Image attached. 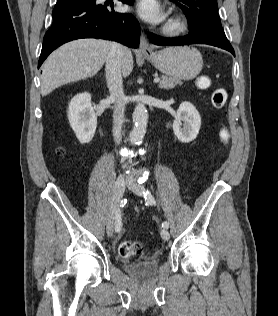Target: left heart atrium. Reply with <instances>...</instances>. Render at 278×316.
Wrapping results in <instances>:
<instances>
[{
  "label": "left heart atrium",
  "mask_w": 278,
  "mask_h": 316,
  "mask_svg": "<svg viewBox=\"0 0 278 316\" xmlns=\"http://www.w3.org/2000/svg\"><path fill=\"white\" fill-rule=\"evenodd\" d=\"M137 12L144 20L151 23L161 22L164 18L162 7L157 0H140Z\"/></svg>",
  "instance_id": "39dd6f15"
}]
</instances>
